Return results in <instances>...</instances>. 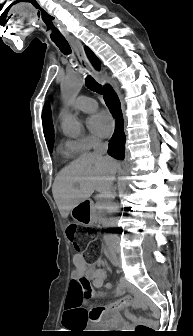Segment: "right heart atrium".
I'll return each mask as SVG.
<instances>
[{"label": "right heart atrium", "mask_w": 193, "mask_h": 336, "mask_svg": "<svg viewBox=\"0 0 193 336\" xmlns=\"http://www.w3.org/2000/svg\"><path fill=\"white\" fill-rule=\"evenodd\" d=\"M98 143L99 140L96 137L90 135L69 141V144L78 152H87Z\"/></svg>", "instance_id": "right-heart-atrium-1"}]
</instances>
